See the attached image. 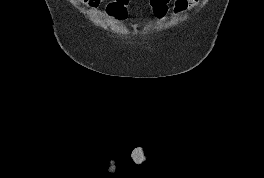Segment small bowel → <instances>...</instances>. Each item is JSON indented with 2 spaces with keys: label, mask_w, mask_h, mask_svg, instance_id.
Masks as SVG:
<instances>
[{
  "label": "small bowel",
  "mask_w": 264,
  "mask_h": 178,
  "mask_svg": "<svg viewBox=\"0 0 264 178\" xmlns=\"http://www.w3.org/2000/svg\"><path fill=\"white\" fill-rule=\"evenodd\" d=\"M79 3L85 5L90 10L98 9L105 0H77ZM199 0H171L170 8L172 13L176 16L185 13L198 4Z\"/></svg>",
  "instance_id": "1"
}]
</instances>
